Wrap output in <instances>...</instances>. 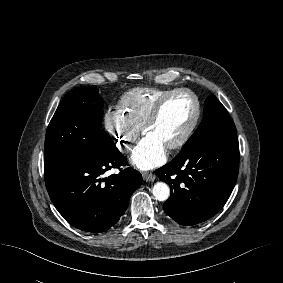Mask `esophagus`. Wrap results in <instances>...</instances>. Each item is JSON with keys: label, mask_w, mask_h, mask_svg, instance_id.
Wrapping results in <instances>:
<instances>
[{"label": "esophagus", "mask_w": 283, "mask_h": 283, "mask_svg": "<svg viewBox=\"0 0 283 283\" xmlns=\"http://www.w3.org/2000/svg\"><path fill=\"white\" fill-rule=\"evenodd\" d=\"M143 179L146 182H152L156 179V177L153 173L145 172L143 173Z\"/></svg>", "instance_id": "1"}]
</instances>
